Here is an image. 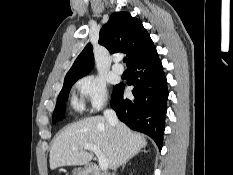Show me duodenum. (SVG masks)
I'll return each mask as SVG.
<instances>
[{
	"label": "duodenum",
	"mask_w": 233,
	"mask_h": 175,
	"mask_svg": "<svg viewBox=\"0 0 233 175\" xmlns=\"http://www.w3.org/2000/svg\"><path fill=\"white\" fill-rule=\"evenodd\" d=\"M84 175H101L98 168L95 165L90 166L85 170Z\"/></svg>",
	"instance_id": "obj_1"
}]
</instances>
